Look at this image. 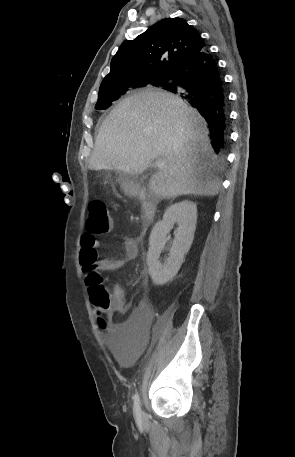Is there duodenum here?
I'll return each mask as SVG.
<instances>
[{
    "mask_svg": "<svg viewBox=\"0 0 295 457\" xmlns=\"http://www.w3.org/2000/svg\"><path fill=\"white\" fill-rule=\"evenodd\" d=\"M142 215H141V220H142V225L143 228L146 229L149 227V225L152 223L154 216H155V205L146 199L144 196L142 197Z\"/></svg>",
    "mask_w": 295,
    "mask_h": 457,
    "instance_id": "1",
    "label": "duodenum"
}]
</instances>
